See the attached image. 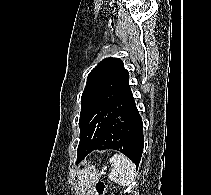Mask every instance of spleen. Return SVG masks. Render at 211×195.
Masks as SVG:
<instances>
[{
  "label": "spleen",
  "instance_id": "3e777b00",
  "mask_svg": "<svg viewBox=\"0 0 211 195\" xmlns=\"http://www.w3.org/2000/svg\"><path fill=\"white\" fill-rule=\"evenodd\" d=\"M109 162L113 169L109 173V179L122 186L130 185L136 176L135 164L122 154H114Z\"/></svg>",
  "mask_w": 211,
  "mask_h": 195
}]
</instances>
